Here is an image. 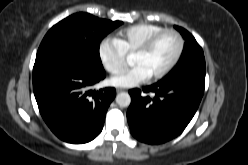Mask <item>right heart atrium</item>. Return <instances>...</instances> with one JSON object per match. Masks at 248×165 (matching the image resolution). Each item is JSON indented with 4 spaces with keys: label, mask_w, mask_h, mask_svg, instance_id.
I'll list each match as a JSON object with an SVG mask.
<instances>
[{
    "label": "right heart atrium",
    "mask_w": 248,
    "mask_h": 165,
    "mask_svg": "<svg viewBox=\"0 0 248 165\" xmlns=\"http://www.w3.org/2000/svg\"><path fill=\"white\" fill-rule=\"evenodd\" d=\"M98 56L105 70L115 73L123 66L126 53L115 39L105 38L99 44Z\"/></svg>",
    "instance_id": "1"
}]
</instances>
